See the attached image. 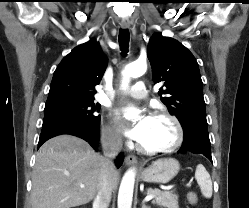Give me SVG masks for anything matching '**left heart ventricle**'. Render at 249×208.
<instances>
[{
    "mask_svg": "<svg viewBox=\"0 0 249 208\" xmlns=\"http://www.w3.org/2000/svg\"><path fill=\"white\" fill-rule=\"evenodd\" d=\"M176 140V129L173 123L164 117H150L143 140L139 143L147 148H164Z\"/></svg>",
    "mask_w": 249,
    "mask_h": 208,
    "instance_id": "obj_1",
    "label": "left heart ventricle"
}]
</instances>
